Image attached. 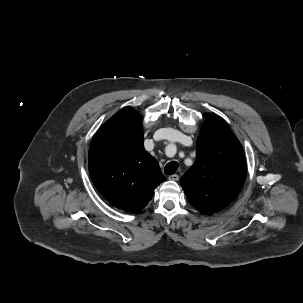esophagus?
I'll list each match as a JSON object with an SVG mask.
<instances>
[{"instance_id": "1", "label": "esophagus", "mask_w": 303, "mask_h": 303, "mask_svg": "<svg viewBox=\"0 0 303 303\" xmlns=\"http://www.w3.org/2000/svg\"><path fill=\"white\" fill-rule=\"evenodd\" d=\"M169 180L178 181L179 180V175L178 174H173V175L169 176Z\"/></svg>"}]
</instances>
